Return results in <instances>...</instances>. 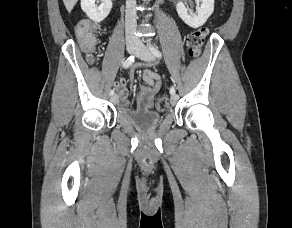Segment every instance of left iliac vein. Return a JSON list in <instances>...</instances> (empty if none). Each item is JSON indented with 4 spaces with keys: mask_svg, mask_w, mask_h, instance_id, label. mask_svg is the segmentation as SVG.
Instances as JSON below:
<instances>
[{
    "mask_svg": "<svg viewBox=\"0 0 292 228\" xmlns=\"http://www.w3.org/2000/svg\"><path fill=\"white\" fill-rule=\"evenodd\" d=\"M135 54L139 59L146 62H151L154 60V55L152 52H150V50L140 40L137 42ZM170 101L172 105H175L178 102V96L172 95Z\"/></svg>",
    "mask_w": 292,
    "mask_h": 228,
    "instance_id": "left-iliac-vein-1",
    "label": "left iliac vein"
}]
</instances>
